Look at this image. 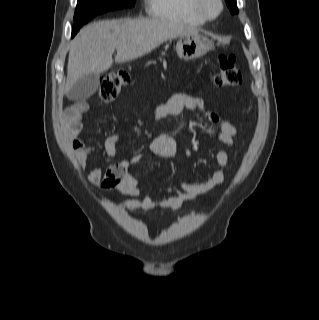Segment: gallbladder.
<instances>
[{
    "mask_svg": "<svg viewBox=\"0 0 319 320\" xmlns=\"http://www.w3.org/2000/svg\"><path fill=\"white\" fill-rule=\"evenodd\" d=\"M99 75L91 73L82 76L67 93L73 101H83L92 96L99 88Z\"/></svg>",
    "mask_w": 319,
    "mask_h": 320,
    "instance_id": "bac80fb5",
    "label": "gallbladder"
}]
</instances>
